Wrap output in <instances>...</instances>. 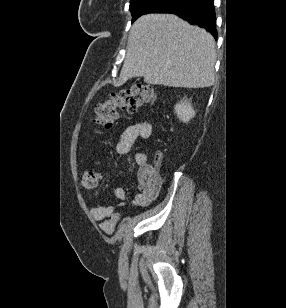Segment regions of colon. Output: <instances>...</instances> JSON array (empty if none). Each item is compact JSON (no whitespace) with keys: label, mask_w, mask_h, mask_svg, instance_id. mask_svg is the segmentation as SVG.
Wrapping results in <instances>:
<instances>
[{"label":"colon","mask_w":286,"mask_h":308,"mask_svg":"<svg viewBox=\"0 0 286 308\" xmlns=\"http://www.w3.org/2000/svg\"><path fill=\"white\" fill-rule=\"evenodd\" d=\"M157 100L155 90L147 85H136L131 88L112 94L106 102L96 105V123L101 128L110 129L119 110L135 112L144 104H153ZM153 179H159V172L153 166L150 171ZM101 180V173L97 169H89L80 176L79 185L83 190L95 188Z\"/></svg>","instance_id":"5ec220e1"}]
</instances>
